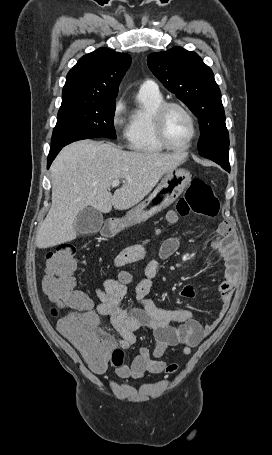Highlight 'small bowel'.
Masks as SVG:
<instances>
[{
	"label": "small bowel",
	"mask_w": 272,
	"mask_h": 455,
	"mask_svg": "<svg viewBox=\"0 0 272 455\" xmlns=\"http://www.w3.org/2000/svg\"><path fill=\"white\" fill-rule=\"evenodd\" d=\"M217 232L218 235L213 239L212 247L217 256L224 262V280L218 286L220 306L216 317L210 323L201 324L193 318L192 312L187 309L168 310L161 308L149 297L159 267L156 258L147 264L144 277L136 286L137 307L126 309L122 305L129 281L122 280L119 274L105 280L103 285L97 289L99 303L95 311L91 312L95 316L97 314L109 317L123 346L128 347L134 344L136 332L139 330L152 332L157 342L153 351L148 347H142L130 364L122 363L117 366L116 371L121 378L138 379L146 373L172 374L176 372L177 363L161 359L166 349L180 346L181 354L189 355L191 349L209 335L226 314L239 279L238 253L230 225L222 223ZM179 246L180 240L177 237L165 239L160 245L158 257L160 259L169 258L178 250ZM146 253L145 244L123 250L115 257L113 269L131 264ZM180 294L185 298H193L195 289L191 285H186Z\"/></svg>",
	"instance_id": "1"
}]
</instances>
